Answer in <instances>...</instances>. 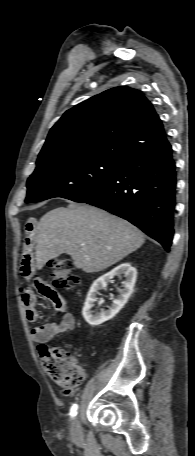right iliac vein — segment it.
<instances>
[{
  "instance_id": "1",
  "label": "right iliac vein",
  "mask_w": 195,
  "mask_h": 456,
  "mask_svg": "<svg viewBox=\"0 0 195 456\" xmlns=\"http://www.w3.org/2000/svg\"><path fill=\"white\" fill-rule=\"evenodd\" d=\"M71 435L74 440H80L82 438V429L78 417L73 421Z\"/></svg>"
}]
</instances>
